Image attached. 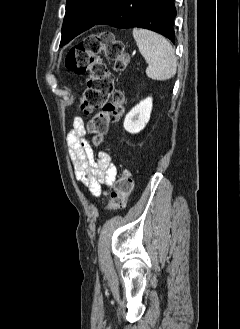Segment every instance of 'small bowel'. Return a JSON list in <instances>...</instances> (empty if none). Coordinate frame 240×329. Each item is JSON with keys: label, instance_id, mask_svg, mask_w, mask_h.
I'll use <instances>...</instances> for the list:
<instances>
[{"label": "small bowel", "instance_id": "c3829d8e", "mask_svg": "<svg viewBox=\"0 0 240 329\" xmlns=\"http://www.w3.org/2000/svg\"><path fill=\"white\" fill-rule=\"evenodd\" d=\"M85 135L84 120L81 117H74L67 141L75 176L92 195L98 197L102 194L103 186L113 185L117 169L107 152L100 151L97 157L94 156L93 149L85 139Z\"/></svg>", "mask_w": 240, "mask_h": 329}]
</instances>
